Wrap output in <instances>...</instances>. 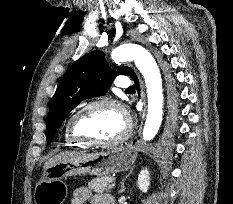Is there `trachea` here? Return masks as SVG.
I'll list each match as a JSON object with an SVG mask.
<instances>
[{
	"mask_svg": "<svg viewBox=\"0 0 233 204\" xmlns=\"http://www.w3.org/2000/svg\"><path fill=\"white\" fill-rule=\"evenodd\" d=\"M134 90V86L129 87L126 91Z\"/></svg>",
	"mask_w": 233,
	"mask_h": 204,
	"instance_id": "obj_1",
	"label": "trachea"
}]
</instances>
